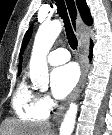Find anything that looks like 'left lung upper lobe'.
I'll use <instances>...</instances> for the list:
<instances>
[{"label": "left lung upper lobe", "mask_w": 112, "mask_h": 135, "mask_svg": "<svg viewBox=\"0 0 112 135\" xmlns=\"http://www.w3.org/2000/svg\"><path fill=\"white\" fill-rule=\"evenodd\" d=\"M31 32H32V28L30 27L29 30L26 32L25 34V37H24V40H23V44H22V50H21V53L23 52L25 46L27 45L28 43V40L31 36Z\"/></svg>", "instance_id": "left-lung-upper-lobe-1"}]
</instances>
